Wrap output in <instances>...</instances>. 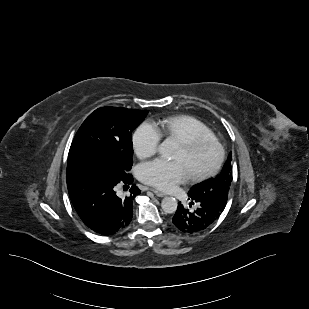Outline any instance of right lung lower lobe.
<instances>
[{"instance_id":"right-lung-lower-lobe-1","label":"right lung lower lobe","mask_w":309,"mask_h":309,"mask_svg":"<svg viewBox=\"0 0 309 309\" xmlns=\"http://www.w3.org/2000/svg\"><path fill=\"white\" fill-rule=\"evenodd\" d=\"M120 182L131 184L133 177L126 173L121 179H114L89 166H67V187L73 206L85 225L98 234L113 235L131 222L134 198L141 191L132 185L130 194L120 198L115 192Z\"/></svg>"}]
</instances>
